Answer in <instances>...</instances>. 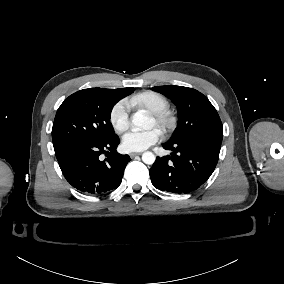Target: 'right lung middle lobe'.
<instances>
[{"label": "right lung middle lobe", "mask_w": 284, "mask_h": 284, "mask_svg": "<svg viewBox=\"0 0 284 284\" xmlns=\"http://www.w3.org/2000/svg\"><path fill=\"white\" fill-rule=\"evenodd\" d=\"M119 100L103 88L83 89L66 98L53 123L54 150L72 142L105 141L114 137L110 115Z\"/></svg>", "instance_id": "1"}]
</instances>
